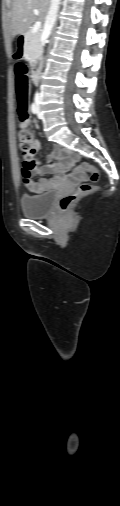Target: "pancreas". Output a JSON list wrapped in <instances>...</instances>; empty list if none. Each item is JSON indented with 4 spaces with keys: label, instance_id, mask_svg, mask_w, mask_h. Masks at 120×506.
<instances>
[{
    "label": "pancreas",
    "instance_id": "obj_1",
    "mask_svg": "<svg viewBox=\"0 0 120 506\" xmlns=\"http://www.w3.org/2000/svg\"><path fill=\"white\" fill-rule=\"evenodd\" d=\"M40 39V32L32 33V30H28L25 34L24 52L25 57L30 61H34L42 54V45Z\"/></svg>",
    "mask_w": 120,
    "mask_h": 506
}]
</instances>
